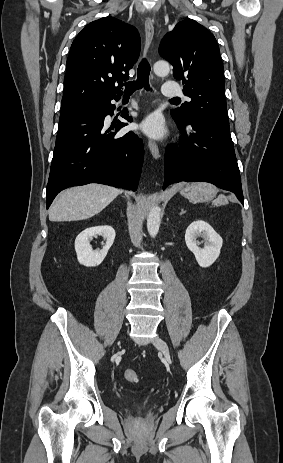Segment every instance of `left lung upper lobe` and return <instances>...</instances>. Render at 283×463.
<instances>
[{
    "mask_svg": "<svg viewBox=\"0 0 283 463\" xmlns=\"http://www.w3.org/2000/svg\"><path fill=\"white\" fill-rule=\"evenodd\" d=\"M160 55L173 65L175 79L191 98L171 114L180 122L207 121L229 129L224 72L213 34L192 19L179 22L163 38Z\"/></svg>",
    "mask_w": 283,
    "mask_h": 463,
    "instance_id": "5c2ea615",
    "label": "left lung upper lobe"
}]
</instances>
